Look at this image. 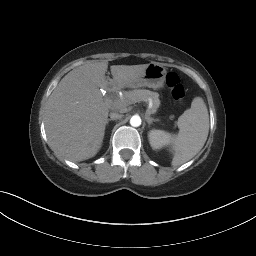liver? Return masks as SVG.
Wrapping results in <instances>:
<instances>
[{
  "instance_id": "1",
  "label": "liver",
  "mask_w": 256,
  "mask_h": 256,
  "mask_svg": "<svg viewBox=\"0 0 256 256\" xmlns=\"http://www.w3.org/2000/svg\"><path fill=\"white\" fill-rule=\"evenodd\" d=\"M148 64L112 65V80L106 79V60L81 65L59 82L45 111V129L51 149L73 162L94 157L104 138L109 107L99 88L123 86L141 76Z\"/></svg>"
}]
</instances>
